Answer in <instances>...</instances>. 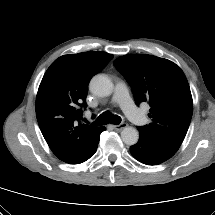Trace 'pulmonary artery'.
Returning a JSON list of instances; mask_svg holds the SVG:
<instances>
[{
	"label": "pulmonary artery",
	"mask_w": 215,
	"mask_h": 215,
	"mask_svg": "<svg viewBox=\"0 0 215 215\" xmlns=\"http://www.w3.org/2000/svg\"><path fill=\"white\" fill-rule=\"evenodd\" d=\"M112 102L118 104L133 123L137 125H144L146 123V117L132 102L127 87L124 83L118 82L116 84Z\"/></svg>",
	"instance_id": "pulmonary-artery-1"
}]
</instances>
